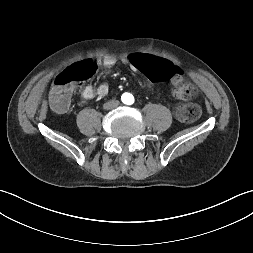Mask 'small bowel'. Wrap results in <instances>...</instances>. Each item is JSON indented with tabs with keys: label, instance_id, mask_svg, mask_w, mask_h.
Wrapping results in <instances>:
<instances>
[{
	"label": "small bowel",
	"instance_id": "c3829d8e",
	"mask_svg": "<svg viewBox=\"0 0 253 253\" xmlns=\"http://www.w3.org/2000/svg\"><path fill=\"white\" fill-rule=\"evenodd\" d=\"M131 54H128L126 56L122 57V62L124 64H127L131 69L135 71H139L136 69L133 64L129 61V56ZM117 59L115 56L111 54H106L101 58L102 65L106 68H110L115 65ZM172 84L177 85L178 83L181 82L182 79V74L178 71L172 76L169 77ZM109 92V86L107 84H101L98 87H94L92 85H86L82 90H81V95L84 99L89 100L94 97H104L108 94Z\"/></svg>",
	"mask_w": 253,
	"mask_h": 253
}]
</instances>
